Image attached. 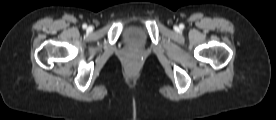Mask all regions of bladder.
Returning a JSON list of instances; mask_svg holds the SVG:
<instances>
[{
    "label": "bladder",
    "mask_w": 276,
    "mask_h": 120,
    "mask_svg": "<svg viewBox=\"0 0 276 120\" xmlns=\"http://www.w3.org/2000/svg\"><path fill=\"white\" fill-rule=\"evenodd\" d=\"M141 37V32L138 29H129L126 33V38L130 43L137 42Z\"/></svg>",
    "instance_id": "1"
}]
</instances>
